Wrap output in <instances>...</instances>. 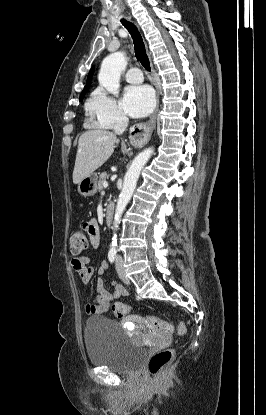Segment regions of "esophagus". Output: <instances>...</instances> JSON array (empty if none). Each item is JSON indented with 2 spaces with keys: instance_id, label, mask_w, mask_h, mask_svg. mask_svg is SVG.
<instances>
[{
  "instance_id": "34e87169",
  "label": "esophagus",
  "mask_w": 266,
  "mask_h": 415,
  "mask_svg": "<svg viewBox=\"0 0 266 415\" xmlns=\"http://www.w3.org/2000/svg\"><path fill=\"white\" fill-rule=\"evenodd\" d=\"M152 71L153 65L151 64ZM154 86L156 88V107L151 115L150 119L145 123H139L134 125L130 130V142L132 145L141 146L147 143L151 137V134L155 128L156 116L159 108V86L156 80H153Z\"/></svg>"
}]
</instances>
